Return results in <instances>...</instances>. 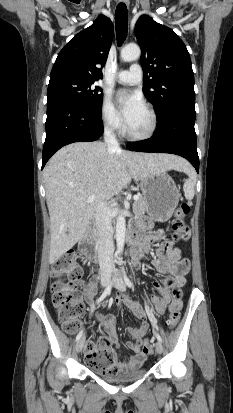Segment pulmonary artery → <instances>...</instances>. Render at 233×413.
<instances>
[{
    "label": "pulmonary artery",
    "mask_w": 233,
    "mask_h": 413,
    "mask_svg": "<svg viewBox=\"0 0 233 413\" xmlns=\"http://www.w3.org/2000/svg\"><path fill=\"white\" fill-rule=\"evenodd\" d=\"M115 79L122 84H137L142 80V69L140 65L133 64L128 70L118 72Z\"/></svg>",
    "instance_id": "obj_1"
}]
</instances>
